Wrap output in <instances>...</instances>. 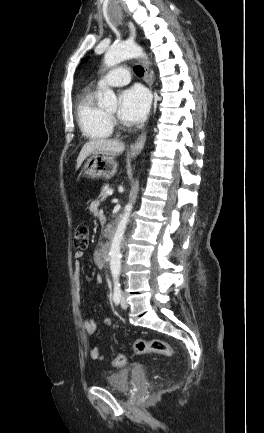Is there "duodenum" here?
<instances>
[{
  "mask_svg": "<svg viewBox=\"0 0 264 433\" xmlns=\"http://www.w3.org/2000/svg\"><path fill=\"white\" fill-rule=\"evenodd\" d=\"M106 232L108 236H112V229L109 228ZM108 253L109 245H102L95 253V260L100 264H104L107 260Z\"/></svg>",
  "mask_w": 264,
  "mask_h": 433,
  "instance_id": "1",
  "label": "duodenum"
}]
</instances>
